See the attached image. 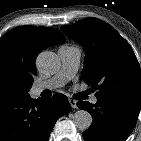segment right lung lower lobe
Wrapping results in <instances>:
<instances>
[{
  "mask_svg": "<svg viewBox=\"0 0 141 141\" xmlns=\"http://www.w3.org/2000/svg\"><path fill=\"white\" fill-rule=\"evenodd\" d=\"M71 110L65 95L0 100V141H48L57 119Z\"/></svg>",
  "mask_w": 141,
  "mask_h": 141,
  "instance_id": "98d812e1",
  "label": "right lung lower lobe"
}]
</instances>
